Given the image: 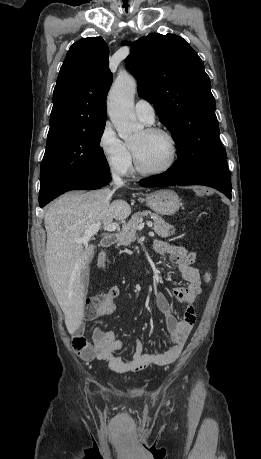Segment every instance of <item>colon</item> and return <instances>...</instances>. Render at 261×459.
Masks as SVG:
<instances>
[{"instance_id": "1", "label": "colon", "mask_w": 261, "mask_h": 459, "mask_svg": "<svg viewBox=\"0 0 261 459\" xmlns=\"http://www.w3.org/2000/svg\"><path fill=\"white\" fill-rule=\"evenodd\" d=\"M198 197H213L214 189L213 188H198L197 190ZM106 262V258L103 254L98 257V264L103 266ZM205 281H210V274L205 275ZM110 294L108 292H103L89 297L85 303V313L84 316L87 320L95 319L99 316L100 311L108 304L110 300Z\"/></svg>"}]
</instances>
